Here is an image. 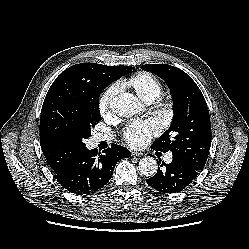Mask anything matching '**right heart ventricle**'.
I'll list each match as a JSON object with an SVG mask.
<instances>
[{
	"mask_svg": "<svg viewBox=\"0 0 249 249\" xmlns=\"http://www.w3.org/2000/svg\"><path fill=\"white\" fill-rule=\"evenodd\" d=\"M123 85L133 89L144 101L149 102L160 96L163 85L160 79L149 72H137L123 82Z\"/></svg>",
	"mask_w": 249,
	"mask_h": 249,
	"instance_id": "1",
	"label": "right heart ventricle"
}]
</instances>
